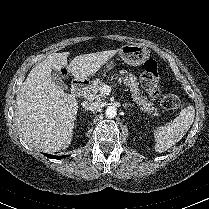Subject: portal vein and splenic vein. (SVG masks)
Returning a JSON list of instances; mask_svg holds the SVG:
<instances>
[{"instance_id": "1", "label": "portal vein and splenic vein", "mask_w": 209, "mask_h": 209, "mask_svg": "<svg viewBox=\"0 0 209 209\" xmlns=\"http://www.w3.org/2000/svg\"><path fill=\"white\" fill-rule=\"evenodd\" d=\"M110 92H111V87L109 85L104 84L103 87L101 88V94L109 95Z\"/></svg>"}]
</instances>
